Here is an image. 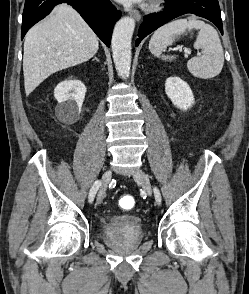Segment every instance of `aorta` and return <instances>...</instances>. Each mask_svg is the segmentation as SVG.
Returning <instances> with one entry per match:
<instances>
[{
  "instance_id": "762f6f07",
  "label": "aorta",
  "mask_w": 249,
  "mask_h": 294,
  "mask_svg": "<svg viewBox=\"0 0 249 294\" xmlns=\"http://www.w3.org/2000/svg\"><path fill=\"white\" fill-rule=\"evenodd\" d=\"M135 28V20L131 17L121 18L115 25L111 47L115 68L118 75L126 79L131 68V40Z\"/></svg>"
}]
</instances>
